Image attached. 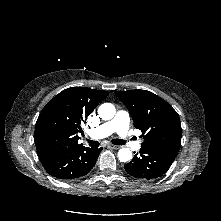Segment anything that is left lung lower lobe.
<instances>
[{
    "mask_svg": "<svg viewBox=\"0 0 221 221\" xmlns=\"http://www.w3.org/2000/svg\"><path fill=\"white\" fill-rule=\"evenodd\" d=\"M177 154L141 146L140 155L135 154L131 162L124 168L126 172L138 179L150 180L165 174L173 163Z\"/></svg>",
    "mask_w": 221,
    "mask_h": 221,
    "instance_id": "left-lung-lower-lobe-1",
    "label": "left lung lower lobe"
}]
</instances>
